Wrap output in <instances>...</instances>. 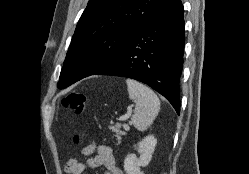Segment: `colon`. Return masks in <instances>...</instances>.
<instances>
[{"mask_svg": "<svg viewBox=\"0 0 249 174\" xmlns=\"http://www.w3.org/2000/svg\"><path fill=\"white\" fill-rule=\"evenodd\" d=\"M62 105L64 108L72 110L75 115L81 116L85 110L86 96L80 91H72L62 99ZM80 139V135L75 134L74 142L76 144L80 142Z\"/></svg>", "mask_w": 249, "mask_h": 174, "instance_id": "1", "label": "colon"}]
</instances>
